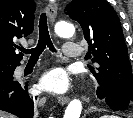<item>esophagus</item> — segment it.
<instances>
[{"instance_id":"34e87169","label":"esophagus","mask_w":133,"mask_h":118,"mask_svg":"<svg viewBox=\"0 0 133 118\" xmlns=\"http://www.w3.org/2000/svg\"><path fill=\"white\" fill-rule=\"evenodd\" d=\"M46 13L48 16L49 21L52 23L54 22L56 16H57V5L55 3H49L46 7ZM70 98L68 96H59L58 102L61 105H64L68 103Z\"/></svg>"}]
</instances>
